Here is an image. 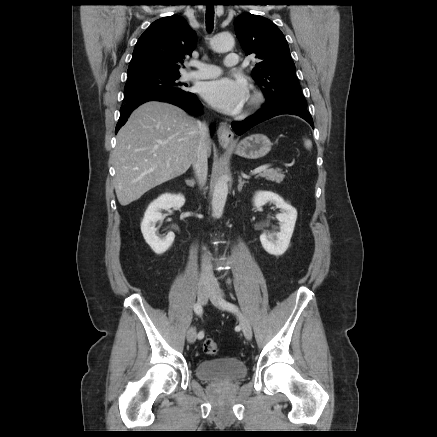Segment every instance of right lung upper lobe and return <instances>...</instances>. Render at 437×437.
I'll use <instances>...</instances> for the list:
<instances>
[{
    "mask_svg": "<svg viewBox=\"0 0 437 437\" xmlns=\"http://www.w3.org/2000/svg\"><path fill=\"white\" fill-rule=\"evenodd\" d=\"M196 34L178 15L153 22L138 39L127 75L138 73H179L180 64L192 54Z\"/></svg>",
    "mask_w": 437,
    "mask_h": 437,
    "instance_id": "right-lung-upper-lobe-1",
    "label": "right lung upper lobe"
}]
</instances>
